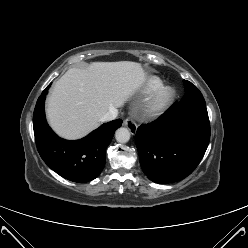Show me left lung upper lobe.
Returning a JSON list of instances; mask_svg holds the SVG:
<instances>
[{
  "label": "left lung upper lobe",
  "instance_id": "obj_1",
  "mask_svg": "<svg viewBox=\"0 0 248 248\" xmlns=\"http://www.w3.org/2000/svg\"><path fill=\"white\" fill-rule=\"evenodd\" d=\"M184 86H185V95L181 99V102L185 101L186 99L190 97L202 96L199 89L195 87L191 82L184 80Z\"/></svg>",
  "mask_w": 248,
  "mask_h": 248
}]
</instances>
